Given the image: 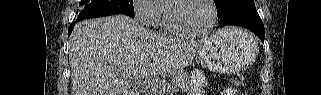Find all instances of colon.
Segmentation results:
<instances>
[{
    "label": "colon",
    "instance_id": "5ec220e1",
    "mask_svg": "<svg viewBox=\"0 0 321 95\" xmlns=\"http://www.w3.org/2000/svg\"><path fill=\"white\" fill-rule=\"evenodd\" d=\"M232 85L240 87L244 83V76L242 74H234L231 78Z\"/></svg>",
    "mask_w": 321,
    "mask_h": 95
}]
</instances>
